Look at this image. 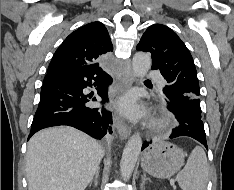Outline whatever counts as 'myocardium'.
<instances>
[{
    "label": "myocardium",
    "instance_id": "1",
    "mask_svg": "<svg viewBox=\"0 0 234 190\" xmlns=\"http://www.w3.org/2000/svg\"><path fill=\"white\" fill-rule=\"evenodd\" d=\"M170 125V119L166 115H159L151 122V128L154 130H163Z\"/></svg>",
    "mask_w": 234,
    "mask_h": 190
}]
</instances>
